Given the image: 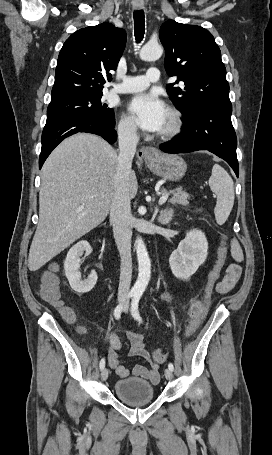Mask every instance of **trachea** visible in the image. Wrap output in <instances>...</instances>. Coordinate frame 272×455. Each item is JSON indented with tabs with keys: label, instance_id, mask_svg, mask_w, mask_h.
Instances as JSON below:
<instances>
[{
	"label": "trachea",
	"instance_id": "1",
	"mask_svg": "<svg viewBox=\"0 0 272 455\" xmlns=\"http://www.w3.org/2000/svg\"><path fill=\"white\" fill-rule=\"evenodd\" d=\"M145 33V16L143 10L134 11V34L136 42L142 41Z\"/></svg>",
	"mask_w": 272,
	"mask_h": 455
}]
</instances>
